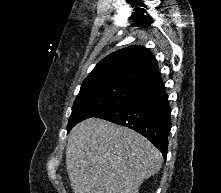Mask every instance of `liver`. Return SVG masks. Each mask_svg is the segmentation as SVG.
<instances>
[{"instance_id": "obj_1", "label": "liver", "mask_w": 221, "mask_h": 193, "mask_svg": "<svg viewBox=\"0 0 221 193\" xmlns=\"http://www.w3.org/2000/svg\"><path fill=\"white\" fill-rule=\"evenodd\" d=\"M162 156L134 130L89 118L72 128L66 167L74 193H138L158 173Z\"/></svg>"}]
</instances>
